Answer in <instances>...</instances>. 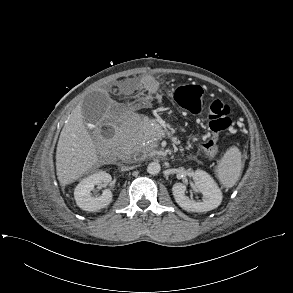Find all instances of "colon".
<instances>
[{"mask_svg": "<svg viewBox=\"0 0 293 293\" xmlns=\"http://www.w3.org/2000/svg\"><path fill=\"white\" fill-rule=\"evenodd\" d=\"M129 84H120L118 89H126ZM173 100L182 109L194 115L208 113V128L210 135L203 138L200 145L201 148L210 156H217L219 149L217 146V137L219 133L227 130L232 120L230 118L229 106L221 100H213L207 102L204 97L203 90L199 85H182L174 89L172 94ZM106 136L112 135V130L106 128L104 130Z\"/></svg>", "mask_w": 293, "mask_h": 293, "instance_id": "1", "label": "colon"}]
</instances>
